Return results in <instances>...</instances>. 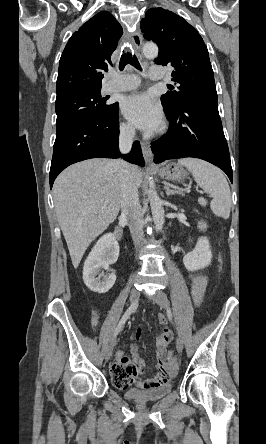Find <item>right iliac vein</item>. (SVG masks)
I'll use <instances>...</instances> for the list:
<instances>
[{
    "mask_svg": "<svg viewBox=\"0 0 266 444\" xmlns=\"http://www.w3.org/2000/svg\"><path fill=\"white\" fill-rule=\"evenodd\" d=\"M139 296H140V292L133 288L131 290V292H130V301H131V303L136 302L138 300ZM114 344H115V340H112L110 342V344L108 345V347H107V349L105 351V361H108L111 358Z\"/></svg>",
    "mask_w": 266,
    "mask_h": 444,
    "instance_id": "63e3f726",
    "label": "right iliac vein"
}]
</instances>
